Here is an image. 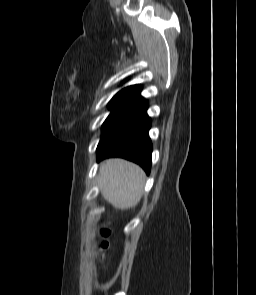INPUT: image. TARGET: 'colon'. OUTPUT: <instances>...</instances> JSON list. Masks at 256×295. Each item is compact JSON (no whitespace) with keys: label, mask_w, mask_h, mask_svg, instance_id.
Listing matches in <instances>:
<instances>
[{"label":"colon","mask_w":256,"mask_h":295,"mask_svg":"<svg viewBox=\"0 0 256 295\" xmlns=\"http://www.w3.org/2000/svg\"><path fill=\"white\" fill-rule=\"evenodd\" d=\"M111 229L110 227L106 224L102 226L99 229V234H100V239L97 241V248H98V260L100 263H104L105 261V250L109 246V242L107 240V237L110 235ZM101 272H104V267H101Z\"/></svg>","instance_id":"colon-1"}]
</instances>
